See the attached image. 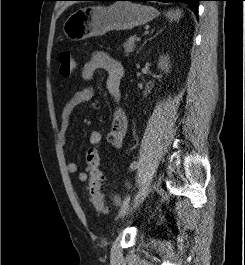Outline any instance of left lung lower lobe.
Listing matches in <instances>:
<instances>
[{"mask_svg":"<svg viewBox=\"0 0 245 265\" xmlns=\"http://www.w3.org/2000/svg\"><path fill=\"white\" fill-rule=\"evenodd\" d=\"M91 1H118V0H91ZM123 1H161V2H183L188 4L191 9L198 15V1L201 0H123Z\"/></svg>","mask_w":245,"mask_h":265,"instance_id":"0a47b994","label":"left lung lower lobe"}]
</instances>
